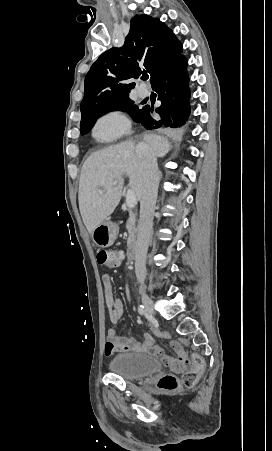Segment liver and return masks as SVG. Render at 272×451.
I'll return each mask as SVG.
<instances>
[{"label": "liver", "instance_id": "obj_1", "mask_svg": "<svg viewBox=\"0 0 272 451\" xmlns=\"http://www.w3.org/2000/svg\"><path fill=\"white\" fill-rule=\"evenodd\" d=\"M143 140L158 158H163L170 150V144L163 136L144 134ZM143 172L135 142L131 140L94 152L87 158L80 174L78 200L80 214L89 233H93V229L111 216L118 206L124 184L123 174L129 176L128 186L140 200ZM98 190H104L103 194H99Z\"/></svg>", "mask_w": 272, "mask_h": 451}]
</instances>
